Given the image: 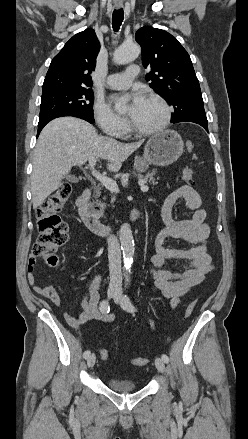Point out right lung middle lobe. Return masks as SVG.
<instances>
[{
	"label": "right lung middle lobe",
	"mask_w": 248,
	"mask_h": 439,
	"mask_svg": "<svg viewBox=\"0 0 248 439\" xmlns=\"http://www.w3.org/2000/svg\"><path fill=\"white\" fill-rule=\"evenodd\" d=\"M92 90L75 88L42 95L39 120L61 114L79 113L89 117L93 114Z\"/></svg>",
	"instance_id": "right-lung-middle-lobe-1"
}]
</instances>
